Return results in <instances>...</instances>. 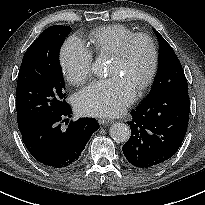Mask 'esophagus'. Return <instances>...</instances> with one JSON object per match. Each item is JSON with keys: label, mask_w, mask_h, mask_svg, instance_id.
<instances>
[{"label": "esophagus", "mask_w": 205, "mask_h": 205, "mask_svg": "<svg viewBox=\"0 0 205 205\" xmlns=\"http://www.w3.org/2000/svg\"><path fill=\"white\" fill-rule=\"evenodd\" d=\"M97 121L100 125H105L110 122L109 120L103 118H98Z\"/></svg>", "instance_id": "esophagus-1"}]
</instances>
